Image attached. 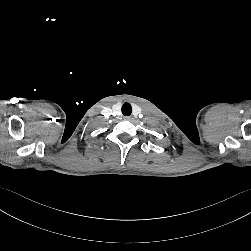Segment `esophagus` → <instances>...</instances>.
<instances>
[{"label":"esophagus","mask_w":251,"mask_h":251,"mask_svg":"<svg viewBox=\"0 0 251 251\" xmlns=\"http://www.w3.org/2000/svg\"><path fill=\"white\" fill-rule=\"evenodd\" d=\"M124 119H125V120H131L132 117H131V116H125Z\"/></svg>","instance_id":"1"}]
</instances>
